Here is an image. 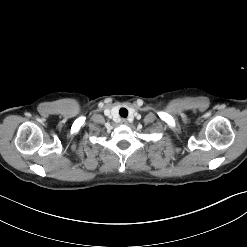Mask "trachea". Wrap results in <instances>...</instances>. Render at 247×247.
I'll use <instances>...</instances> for the list:
<instances>
[{
  "mask_svg": "<svg viewBox=\"0 0 247 247\" xmlns=\"http://www.w3.org/2000/svg\"><path fill=\"white\" fill-rule=\"evenodd\" d=\"M119 114H120L121 117L126 118L128 116V110L126 108H121L119 110Z\"/></svg>",
  "mask_w": 247,
  "mask_h": 247,
  "instance_id": "3493384b",
  "label": "trachea"
}]
</instances>
